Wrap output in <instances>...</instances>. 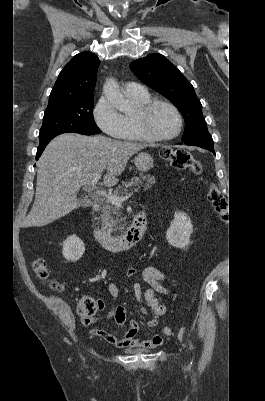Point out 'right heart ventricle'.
Instances as JSON below:
<instances>
[{
    "label": "right heart ventricle",
    "mask_w": 265,
    "mask_h": 401,
    "mask_svg": "<svg viewBox=\"0 0 265 401\" xmlns=\"http://www.w3.org/2000/svg\"><path fill=\"white\" fill-rule=\"evenodd\" d=\"M127 96L135 102L137 107L148 103L151 101V97L145 91L143 94H130L126 93ZM137 113V112H136ZM136 113L132 115H128L124 113L123 120H124V129L117 138L119 140H115L114 142H121V141H130V140H142V136L139 133L136 124Z\"/></svg>",
    "instance_id": "1"
}]
</instances>
